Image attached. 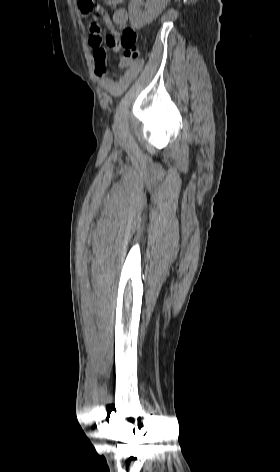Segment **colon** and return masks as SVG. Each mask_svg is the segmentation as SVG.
<instances>
[{"instance_id": "1", "label": "colon", "mask_w": 280, "mask_h": 472, "mask_svg": "<svg viewBox=\"0 0 280 472\" xmlns=\"http://www.w3.org/2000/svg\"><path fill=\"white\" fill-rule=\"evenodd\" d=\"M86 8L92 10L93 0H88L85 3ZM137 34L132 28H125L120 37V46L123 50V55L127 58H136L138 56V49L136 45Z\"/></svg>"}]
</instances>
